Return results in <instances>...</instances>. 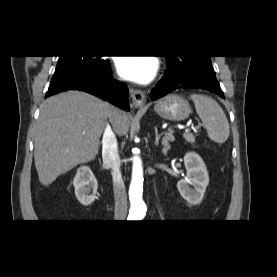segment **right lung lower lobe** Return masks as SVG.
<instances>
[{
  "label": "right lung lower lobe",
  "instance_id": "98d812e1",
  "mask_svg": "<svg viewBox=\"0 0 277 277\" xmlns=\"http://www.w3.org/2000/svg\"><path fill=\"white\" fill-rule=\"evenodd\" d=\"M111 75L112 71L110 63H108L102 71L90 80L74 82L57 89H49L46 97L66 90H82L129 111L128 89L124 84L113 80Z\"/></svg>",
  "mask_w": 277,
  "mask_h": 277
}]
</instances>
